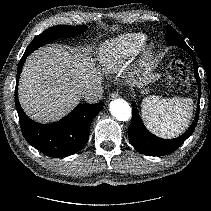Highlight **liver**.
I'll return each instance as SVG.
<instances>
[{
	"mask_svg": "<svg viewBox=\"0 0 211 211\" xmlns=\"http://www.w3.org/2000/svg\"><path fill=\"white\" fill-rule=\"evenodd\" d=\"M86 55L71 54L62 45H50L27 58L18 95L29 117L40 123L57 121L80 102L84 89L101 85L103 74Z\"/></svg>",
	"mask_w": 211,
	"mask_h": 211,
	"instance_id": "1",
	"label": "liver"
}]
</instances>
